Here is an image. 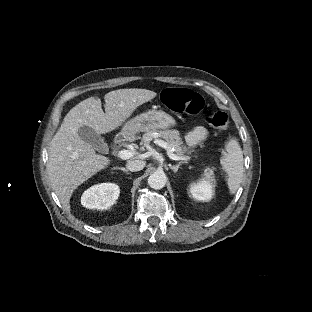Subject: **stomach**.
Returning <instances> with one entry per match:
<instances>
[{"mask_svg": "<svg viewBox=\"0 0 312 312\" xmlns=\"http://www.w3.org/2000/svg\"><path fill=\"white\" fill-rule=\"evenodd\" d=\"M177 126L176 119L163 110H150L126 122L121 135L133 138L137 132H147L153 129H173Z\"/></svg>", "mask_w": 312, "mask_h": 312, "instance_id": "obj_1", "label": "stomach"}]
</instances>
